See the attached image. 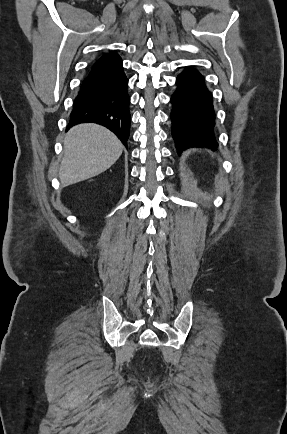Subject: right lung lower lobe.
<instances>
[{
  "instance_id": "98d812e1",
  "label": "right lung lower lobe",
  "mask_w": 287,
  "mask_h": 434,
  "mask_svg": "<svg viewBox=\"0 0 287 434\" xmlns=\"http://www.w3.org/2000/svg\"><path fill=\"white\" fill-rule=\"evenodd\" d=\"M127 87L120 56L116 52L102 55L81 84L67 130L79 123L94 122L110 129L127 146L131 121Z\"/></svg>"
}]
</instances>
